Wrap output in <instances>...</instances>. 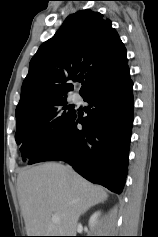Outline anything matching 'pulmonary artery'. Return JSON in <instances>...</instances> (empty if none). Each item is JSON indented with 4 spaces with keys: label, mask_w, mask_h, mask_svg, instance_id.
<instances>
[{
    "label": "pulmonary artery",
    "mask_w": 158,
    "mask_h": 237,
    "mask_svg": "<svg viewBox=\"0 0 158 237\" xmlns=\"http://www.w3.org/2000/svg\"><path fill=\"white\" fill-rule=\"evenodd\" d=\"M72 100H73L74 102H77V101L79 100V98H78L77 95H74V96L72 97Z\"/></svg>",
    "instance_id": "e3ab8cb5"
}]
</instances>
